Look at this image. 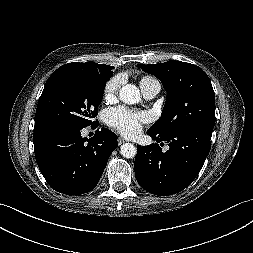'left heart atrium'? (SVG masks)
Returning <instances> with one entry per match:
<instances>
[{"label": "left heart atrium", "instance_id": "obj_1", "mask_svg": "<svg viewBox=\"0 0 253 253\" xmlns=\"http://www.w3.org/2000/svg\"><path fill=\"white\" fill-rule=\"evenodd\" d=\"M106 121L123 135L134 137L141 131L142 125L148 121V114L117 107L107 111Z\"/></svg>", "mask_w": 253, "mask_h": 253}]
</instances>
